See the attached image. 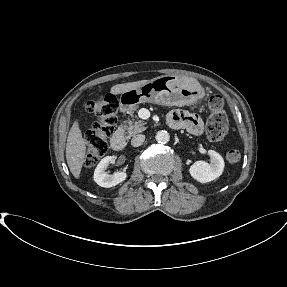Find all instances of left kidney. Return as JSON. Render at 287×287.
<instances>
[{
	"label": "left kidney",
	"instance_id": "obj_1",
	"mask_svg": "<svg viewBox=\"0 0 287 287\" xmlns=\"http://www.w3.org/2000/svg\"><path fill=\"white\" fill-rule=\"evenodd\" d=\"M211 163L196 161L189 169L190 175L200 183H207L218 178L224 170L222 156L214 150H209Z\"/></svg>",
	"mask_w": 287,
	"mask_h": 287
}]
</instances>
